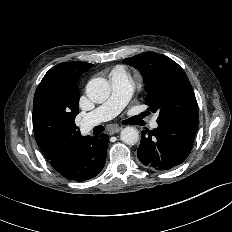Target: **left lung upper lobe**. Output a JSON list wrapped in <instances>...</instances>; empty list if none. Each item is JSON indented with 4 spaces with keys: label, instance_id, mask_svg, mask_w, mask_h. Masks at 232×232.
<instances>
[{
    "label": "left lung upper lobe",
    "instance_id": "left-lung-upper-lobe-1",
    "mask_svg": "<svg viewBox=\"0 0 232 232\" xmlns=\"http://www.w3.org/2000/svg\"><path fill=\"white\" fill-rule=\"evenodd\" d=\"M137 68L145 84L148 110L166 117L198 118V105L185 71L173 60L155 52H144L123 60Z\"/></svg>",
    "mask_w": 232,
    "mask_h": 232
}]
</instances>
